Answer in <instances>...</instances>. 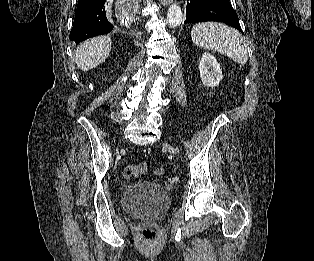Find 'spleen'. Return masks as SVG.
<instances>
[{"mask_svg": "<svg viewBox=\"0 0 314 261\" xmlns=\"http://www.w3.org/2000/svg\"><path fill=\"white\" fill-rule=\"evenodd\" d=\"M191 39L199 48L219 52L238 64L247 63V45L241 34L223 23H198L191 30Z\"/></svg>", "mask_w": 314, "mask_h": 261, "instance_id": "1", "label": "spleen"}]
</instances>
